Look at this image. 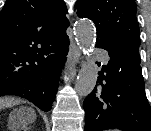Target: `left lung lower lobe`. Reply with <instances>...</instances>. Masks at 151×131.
<instances>
[{
	"mask_svg": "<svg viewBox=\"0 0 151 131\" xmlns=\"http://www.w3.org/2000/svg\"><path fill=\"white\" fill-rule=\"evenodd\" d=\"M109 57L108 64L98 73L99 84L83 102L85 131H151V108L140 65L129 64L110 53Z\"/></svg>",
	"mask_w": 151,
	"mask_h": 131,
	"instance_id": "1",
	"label": "left lung lower lobe"
}]
</instances>
